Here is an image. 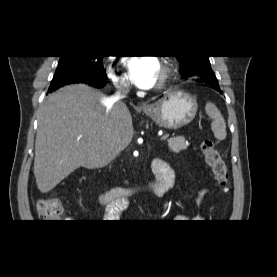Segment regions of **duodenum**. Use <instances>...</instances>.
<instances>
[{
	"label": "duodenum",
	"instance_id": "410a0bca",
	"mask_svg": "<svg viewBox=\"0 0 277 277\" xmlns=\"http://www.w3.org/2000/svg\"><path fill=\"white\" fill-rule=\"evenodd\" d=\"M159 167L157 181H149L140 186L141 189L148 192L154 193L155 195L162 197L159 194L161 183L169 185L171 183V170L169 166L161 159H155ZM138 188L131 187H116L111 190H105L100 193V202L102 205H112V209L115 213L119 212L121 209L126 207L128 198L137 190Z\"/></svg>",
	"mask_w": 277,
	"mask_h": 277
}]
</instances>
